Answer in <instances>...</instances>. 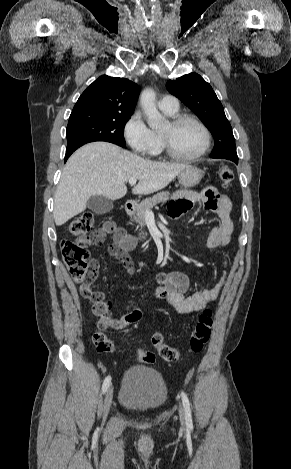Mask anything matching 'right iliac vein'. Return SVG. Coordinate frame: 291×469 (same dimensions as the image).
<instances>
[{"label":"right iliac vein","mask_w":291,"mask_h":469,"mask_svg":"<svg viewBox=\"0 0 291 469\" xmlns=\"http://www.w3.org/2000/svg\"><path fill=\"white\" fill-rule=\"evenodd\" d=\"M112 399H113V389L112 387L108 388L106 391V395L104 398V404H103V418L106 419L112 404Z\"/></svg>","instance_id":"obj_1"}]
</instances>
